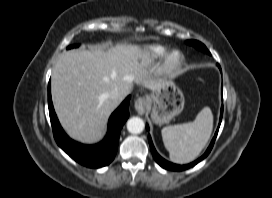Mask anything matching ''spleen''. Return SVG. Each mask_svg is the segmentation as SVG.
<instances>
[{
    "instance_id": "3e777b00",
    "label": "spleen",
    "mask_w": 272,
    "mask_h": 198,
    "mask_svg": "<svg viewBox=\"0 0 272 198\" xmlns=\"http://www.w3.org/2000/svg\"><path fill=\"white\" fill-rule=\"evenodd\" d=\"M213 115L204 107L193 122L164 127L161 131L165 148L172 162L185 164L198 157L210 139Z\"/></svg>"
}]
</instances>
